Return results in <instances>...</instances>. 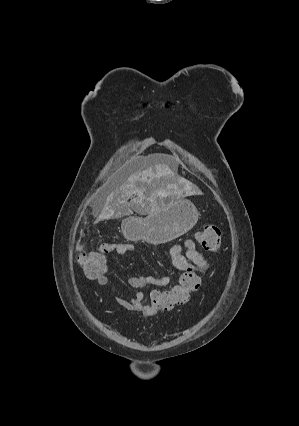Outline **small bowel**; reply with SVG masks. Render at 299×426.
Returning <instances> with one entry per match:
<instances>
[{"label":"small bowel","mask_w":299,"mask_h":426,"mask_svg":"<svg viewBox=\"0 0 299 426\" xmlns=\"http://www.w3.org/2000/svg\"><path fill=\"white\" fill-rule=\"evenodd\" d=\"M135 246L131 243H113L107 247L106 254L116 253L124 255L133 252ZM170 255L173 265L180 271H184L189 265L195 266L200 272L205 273L208 270V263L205 258L196 250L188 249L183 252L179 245L171 248ZM108 264L105 261L101 273L95 278L100 286H106L110 283L107 275ZM170 276L156 277L152 275L132 276L128 279L129 285L138 290L137 293L130 298L114 297L115 301L126 308L128 311L141 312L145 316H153L160 311L150 303H145V294L141 291L145 286L151 285L159 288L166 287L170 284Z\"/></svg>","instance_id":"c3829d8e"}]
</instances>
